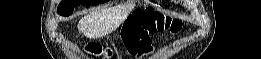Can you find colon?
I'll list each match as a JSON object with an SVG mask.
<instances>
[{
    "mask_svg": "<svg viewBox=\"0 0 261 59\" xmlns=\"http://www.w3.org/2000/svg\"><path fill=\"white\" fill-rule=\"evenodd\" d=\"M164 29L176 33L181 29V24L168 21L162 15L153 12H142L126 36L131 53L137 56L148 54L152 50L150 36ZM87 49L95 55L101 52L96 45H89Z\"/></svg>",
    "mask_w": 261,
    "mask_h": 59,
    "instance_id": "colon-1",
    "label": "colon"
}]
</instances>
